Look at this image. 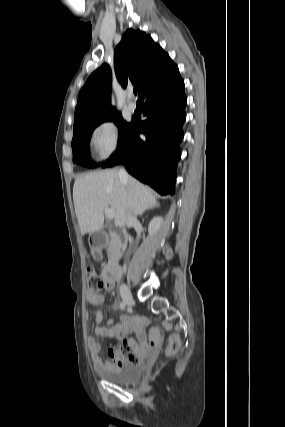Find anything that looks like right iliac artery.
Masks as SVG:
<instances>
[{"label": "right iliac artery", "mask_w": 285, "mask_h": 427, "mask_svg": "<svg viewBox=\"0 0 285 427\" xmlns=\"http://www.w3.org/2000/svg\"><path fill=\"white\" fill-rule=\"evenodd\" d=\"M120 308L124 309L125 308V303L124 302H120Z\"/></svg>", "instance_id": "82829eb1"}]
</instances>
